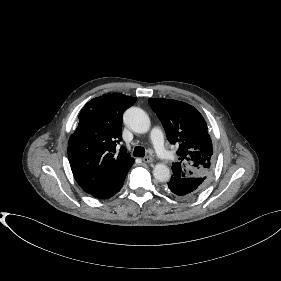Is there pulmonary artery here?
Instances as JSON below:
<instances>
[{
    "mask_svg": "<svg viewBox=\"0 0 281 281\" xmlns=\"http://www.w3.org/2000/svg\"><path fill=\"white\" fill-rule=\"evenodd\" d=\"M151 141L156 152L164 157L171 158L172 154L168 152L164 145L163 133L159 128H153L151 131Z\"/></svg>",
    "mask_w": 281,
    "mask_h": 281,
    "instance_id": "e3ab8cb5",
    "label": "pulmonary artery"
}]
</instances>
